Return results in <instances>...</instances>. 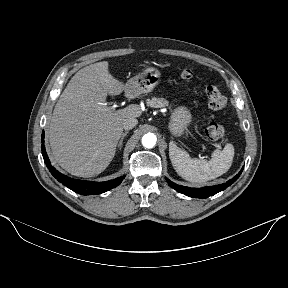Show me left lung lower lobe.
I'll list each match as a JSON object with an SVG mask.
<instances>
[{
	"label": "left lung lower lobe",
	"instance_id": "obj_1",
	"mask_svg": "<svg viewBox=\"0 0 288 288\" xmlns=\"http://www.w3.org/2000/svg\"><path fill=\"white\" fill-rule=\"evenodd\" d=\"M242 171H243V168L234 178L230 179L226 183L215 185V186L203 187V188L185 187V186H181V185H177L173 183L168 178L166 180L168 184L179 193H182L187 196L194 197V198H207L209 196L217 194L218 192L226 189L228 186L233 184L239 178Z\"/></svg>",
	"mask_w": 288,
	"mask_h": 288
}]
</instances>
